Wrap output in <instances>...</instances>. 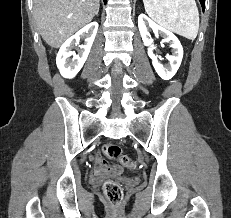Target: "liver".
Segmentation results:
<instances>
[{"label": "liver", "mask_w": 231, "mask_h": 218, "mask_svg": "<svg viewBox=\"0 0 231 218\" xmlns=\"http://www.w3.org/2000/svg\"><path fill=\"white\" fill-rule=\"evenodd\" d=\"M98 10L99 0H34L33 5L38 30L52 48L91 22Z\"/></svg>", "instance_id": "1"}]
</instances>
